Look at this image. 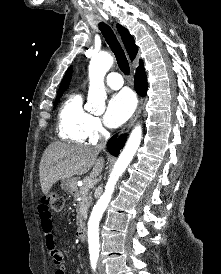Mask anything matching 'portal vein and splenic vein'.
Returning a JSON list of instances; mask_svg holds the SVG:
<instances>
[{"mask_svg":"<svg viewBox=\"0 0 221 274\" xmlns=\"http://www.w3.org/2000/svg\"><path fill=\"white\" fill-rule=\"evenodd\" d=\"M84 184L86 185V187L90 188L94 185V182L92 179L86 178V179H84Z\"/></svg>","mask_w":221,"mask_h":274,"instance_id":"portal-vein-and-splenic-vein-1","label":"portal vein and splenic vein"}]
</instances>
